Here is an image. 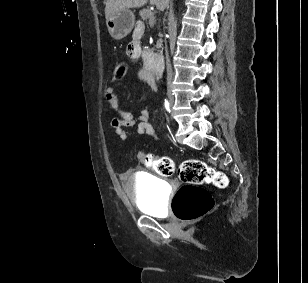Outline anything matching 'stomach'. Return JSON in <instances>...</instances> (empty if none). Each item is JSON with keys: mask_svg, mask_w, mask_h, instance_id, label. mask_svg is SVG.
I'll use <instances>...</instances> for the list:
<instances>
[{"mask_svg": "<svg viewBox=\"0 0 308 283\" xmlns=\"http://www.w3.org/2000/svg\"><path fill=\"white\" fill-rule=\"evenodd\" d=\"M134 23V14L129 9H120L106 19L108 32L115 40L126 37L132 31Z\"/></svg>", "mask_w": 308, "mask_h": 283, "instance_id": "stomach-1", "label": "stomach"}]
</instances>
